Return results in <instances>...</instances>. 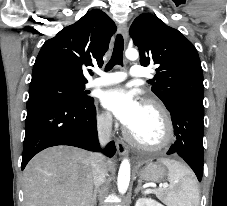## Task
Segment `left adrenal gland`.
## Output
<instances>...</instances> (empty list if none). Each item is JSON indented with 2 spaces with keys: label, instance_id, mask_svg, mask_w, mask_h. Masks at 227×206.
<instances>
[{
  "label": "left adrenal gland",
  "instance_id": "left-adrenal-gland-1",
  "mask_svg": "<svg viewBox=\"0 0 227 206\" xmlns=\"http://www.w3.org/2000/svg\"><path fill=\"white\" fill-rule=\"evenodd\" d=\"M141 185H142V181L139 180V181H138V185H137V187H136V189H135V193H136V194H137L140 190H141L142 193H144V189L141 187Z\"/></svg>",
  "mask_w": 227,
  "mask_h": 206
}]
</instances>
